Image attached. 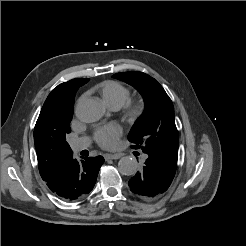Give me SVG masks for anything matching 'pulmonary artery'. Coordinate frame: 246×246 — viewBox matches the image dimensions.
Returning a JSON list of instances; mask_svg holds the SVG:
<instances>
[{
    "instance_id": "pulmonary-artery-1",
    "label": "pulmonary artery",
    "mask_w": 246,
    "mask_h": 246,
    "mask_svg": "<svg viewBox=\"0 0 246 246\" xmlns=\"http://www.w3.org/2000/svg\"><path fill=\"white\" fill-rule=\"evenodd\" d=\"M89 144H90V141L88 138L81 137V138L74 139L71 142V148L74 152H79V151L86 149L89 146ZM146 158H147V155H144L143 159H146Z\"/></svg>"
}]
</instances>
